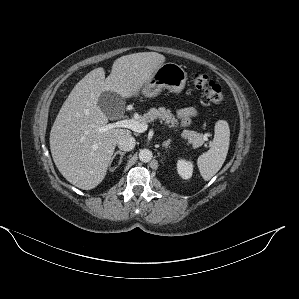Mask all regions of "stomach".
Instances as JSON below:
<instances>
[{"mask_svg":"<svg viewBox=\"0 0 299 299\" xmlns=\"http://www.w3.org/2000/svg\"><path fill=\"white\" fill-rule=\"evenodd\" d=\"M187 73L181 65L168 62L160 65L148 79L142 89L145 97L157 96L162 89L179 94L185 88Z\"/></svg>","mask_w":299,"mask_h":299,"instance_id":"0dacf381","label":"stomach"}]
</instances>
